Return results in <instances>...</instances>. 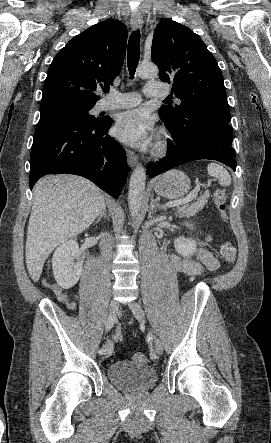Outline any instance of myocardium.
Here are the masks:
<instances>
[{
  "instance_id": "f54148a6",
  "label": "myocardium",
  "mask_w": 271,
  "mask_h": 443,
  "mask_svg": "<svg viewBox=\"0 0 271 443\" xmlns=\"http://www.w3.org/2000/svg\"><path fill=\"white\" fill-rule=\"evenodd\" d=\"M169 149L170 143L168 139L165 136L161 135L157 138L155 142L153 153L157 157H163L168 153Z\"/></svg>"
}]
</instances>
